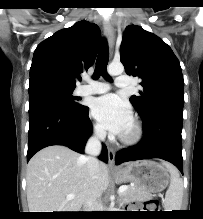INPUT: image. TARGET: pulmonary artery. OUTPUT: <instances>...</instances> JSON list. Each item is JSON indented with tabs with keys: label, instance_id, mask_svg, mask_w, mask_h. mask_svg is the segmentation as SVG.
I'll return each instance as SVG.
<instances>
[{
	"label": "pulmonary artery",
	"instance_id": "1",
	"mask_svg": "<svg viewBox=\"0 0 203 219\" xmlns=\"http://www.w3.org/2000/svg\"><path fill=\"white\" fill-rule=\"evenodd\" d=\"M116 86L119 88H127L131 84L129 76L121 75L116 78ZM110 90V86L107 83L89 81L87 85L81 86L78 89L79 95H91V94H102Z\"/></svg>",
	"mask_w": 203,
	"mask_h": 219
}]
</instances>
